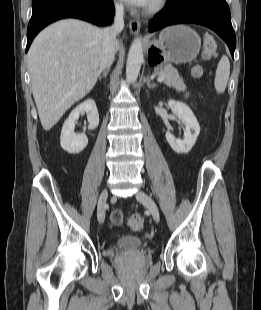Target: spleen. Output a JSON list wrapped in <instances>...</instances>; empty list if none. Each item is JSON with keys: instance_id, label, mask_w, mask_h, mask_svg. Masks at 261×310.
<instances>
[{"instance_id": "3e777b00", "label": "spleen", "mask_w": 261, "mask_h": 310, "mask_svg": "<svg viewBox=\"0 0 261 310\" xmlns=\"http://www.w3.org/2000/svg\"><path fill=\"white\" fill-rule=\"evenodd\" d=\"M230 75V63L227 56H223L217 66L214 86L217 93H223L227 87Z\"/></svg>"}]
</instances>
